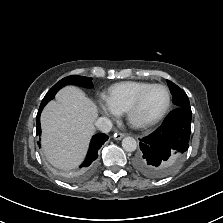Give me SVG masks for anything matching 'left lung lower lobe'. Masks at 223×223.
<instances>
[{"instance_id": "obj_1", "label": "left lung lower lobe", "mask_w": 223, "mask_h": 223, "mask_svg": "<svg viewBox=\"0 0 223 223\" xmlns=\"http://www.w3.org/2000/svg\"><path fill=\"white\" fill-rule=\"evenodd\" d=\"M191 110L176 107L162 125L140 140V152L134 166L145 176L161 178L171 173L188 149Z\"/></svg>"}]
</instances>
